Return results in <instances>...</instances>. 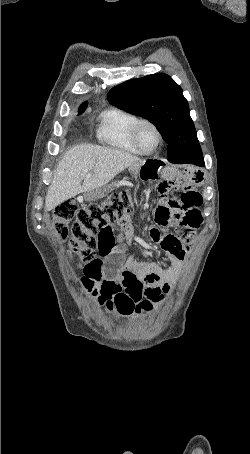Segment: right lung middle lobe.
<instances>
[{"label":"right lung middle lobe","instance_id":"right-lung-middle-lobe-1","mask_svg":"<svg viewBox=\"0 0 250 454\" xmlns=\"http://www.w3.org/2000/svg\"><path fill=\"white\" fill-rule=\"evenodd\" d=\"M86 107H87V103L86 104H82L80 106V108H79V113H83L85 111Z\"/></svg>","mask_w":250,"mask_h":454}]
</instances>
